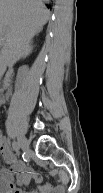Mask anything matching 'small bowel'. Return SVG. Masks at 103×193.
I'll return each mask as SVG.
<instances>
[{"label":"small bowel","instance_id":"c3829d8e","mask_svg":"<svg viewBox=\"0 0 103 193\" xmlns=\"http://www.w3.org/2000/svg\"><path fill=\"white\" fill-rule=\"evenodd\" d=\"M0 154L4 161L10 164V168H3L1 171L0 193H14L15 183L20 186H28L33 180L36 184L41 183V175L35 169L27 166L24 162L16 160L14 153L9 149L7 141L4 137L0 139ZM19 191V190H18ZM22 193L21 191H19ZM26 193H37L36 191H30ZM40 193H64V186H52L51 184H45L40 186Z\"/></svg>","mask_w":103,"mask_h":193}]
</instances>
